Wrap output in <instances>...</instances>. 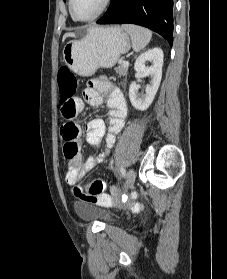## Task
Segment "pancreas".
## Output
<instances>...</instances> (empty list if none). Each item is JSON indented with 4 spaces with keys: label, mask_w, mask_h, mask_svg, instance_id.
<instances>
[{
    "label": "pancreas",
    "mask_w": 227,
    "mask_h": 279,
    "mask_svg": "<svg viewBox=\"0 0 227 279\" xmlns=\"http://www.w3.org/2000/svg\"><path fill=\"white\" fill-rule=\"evenodd\" d=\"M115 70H116V73L119 76H126L127 75V71H128V66H123V64H121Z\"/></svg>",
    "instance_id": "obj_1"
}]
</instances>
